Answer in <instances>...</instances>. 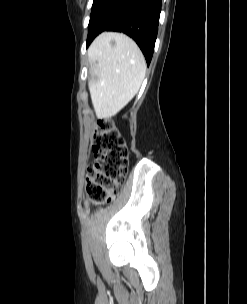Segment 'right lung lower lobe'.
I'll return each instance as SVG.
<instances>
[{
  "instance_id": "98d812e1",
  "label": "right lung lower lobe",
  "mask_w": 247,
  "mask_h": 304,
  "mask_svg": "<svg viewBox=\"0 0 247 304\" xmlns=\"http://www.w3.org/2000/svg\"><path fill=\"white\" fill-rule=\"evenodd\" d=\"M161 0H96L88 25L87 47L105 30L133 38L150 64L158 32Z\"/></svg>"
}]
</instances>
